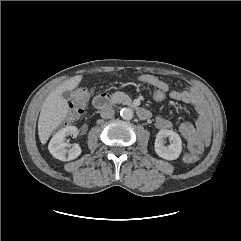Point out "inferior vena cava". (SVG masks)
<instances>
[{
    "instance_id": "1",
    "label": "inferior vena cava",
    "mask_w": 241,
    "mask_h": 241,
    "mask_svg": "<svg viewBox=\"0 0 241 241\" xmlns=\"http://www.w3.org/2000/svg\"><path fill=\"white\" fill-rule=\"evenodd\" d=\"M114 109L111 106H106L100 111V115L104 119H109L114 116Z\"/></svg>"
}]
</instances>
